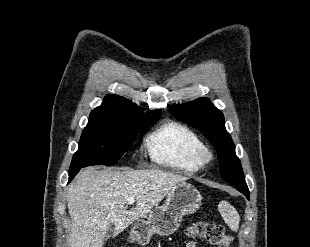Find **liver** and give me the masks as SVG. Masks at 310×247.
I'll return each instance as SVG.
<instances>
[{
  "label": "liver",
  "instance_id": "6515ba94",
  "mask_svg": "<svg viewBox=\"0 0 310 247\" xmlns=\"http://www.w3.org/2000/svg\"><path fill=\"white\" fill-rule=\"evenodd\" d=\"M187 177L160 169L81 171L67 190L72 220L70 247H102L107 229L114 234L143 219ZM135 207L128 210V199Z\"/></svg>",
  "mask_w": 310,
  "mask_h": 247
}]
</instances>
